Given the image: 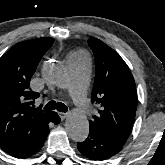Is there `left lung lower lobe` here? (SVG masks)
<instances>
[{"mask_svg":"<svg viewBox=\"0 0 165 165\" xmlns=\"http://www.w3.org/2000/svg\"><path fill=\"white\" fill-rule=\"evenodd\" d=\"M124 143L125 140L90 125L87 139L78 142L77 148L82 155L91 160H104L116 155Z\"/></svg>","mask_w":165,"mask_h":165,"instance_id":"0a47b994","label":"left lung lower lobe"}]
</instances>
